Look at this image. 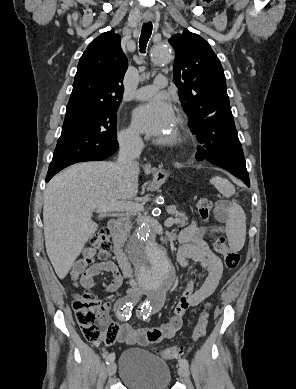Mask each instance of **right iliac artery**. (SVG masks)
I'll return each instance as SVG.
<instances>
[{"label": "right iliac artery", "mask_w": 296, "mask_h": 389, "mask_svg": "<svg viewBox=\"0 0 296 389\" xmlns=\"http://www.w3.org/2000/svg\"><path fill=\"white\" fill-rule=\"evenodd\" d=\"M135 302L134 301H128L127 297H124L120 299L118 306H117V316L121 320H126L125 319V314L126 313H131L133 307H134ZM104 357L106 359V363L109 364L110 362L114 361L115 355L113 353L108 354L107 352L104 353Z\"/></svg>", "instance_id": "right-iliac-artery-1"}]
</instances>
